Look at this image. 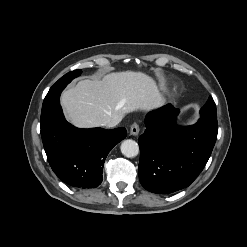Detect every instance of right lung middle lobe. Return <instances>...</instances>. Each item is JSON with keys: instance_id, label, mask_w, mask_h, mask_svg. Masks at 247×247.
Returning <instances> with one entry per match:
<instances>
[{"instance_id": "right-lung-middle-lobe-1", "label": "right lung middle lobe", "mask_w": 247, "mask_h": 247, "mask_svg": "<svg viewBox=\"0 0 247 247\" xmlns=\"http://www.w3.org/2000/svg\"><path fill=\"white\" fill-rule=\"evenodd\" d=\"M81 74V70H75L65 74L61 77L49 90L47 93L42 108L46 107L47 105L59 100L60 94L62 90L70 83L75 77H78Z\"/></svg>"}]
</instances>
